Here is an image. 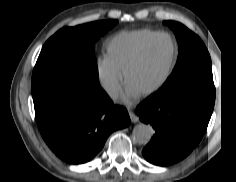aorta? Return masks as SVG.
<instances>
[{
	"mask_svg": "<svg viewBox=\"0 0 236 182\" xmlns=\"http://www.w3.org/2000/svg\"><path fill=\"white\" fill-rule=\"evenodd\" d=\"M153 131L149 125L138 123L132 131L133 140L138 144H146L150 141Z\"/></svg>",
	"mask_w": 236,
	"mask_h": 182,
	"instance_id": "obj_1",
	"label": "aorta"
}]
</instances>
